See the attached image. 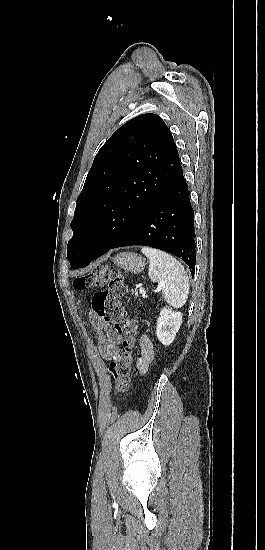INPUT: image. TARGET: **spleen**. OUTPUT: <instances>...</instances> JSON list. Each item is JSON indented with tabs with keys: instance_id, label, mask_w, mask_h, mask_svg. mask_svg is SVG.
Masks as SVG:
<instances>
[{
	"instance_id": "1",
	"label": "spleen",
	"mask_w": 265,
	"mask_h": 550,
	"mask_svg": "<svg viewBox=\"0 0 265 550\" xmlns=\"http://www.w3.org/2000/svg\"><path fill=\"white\" fill-rule=\"evenodd\" d=\"M142 253L150 261L149 277L158 283V289L167 303L182 307L189 294V278L183 265L172 255L151 247H142Z\"/></svg>"
}]
</instances>
